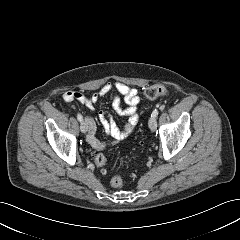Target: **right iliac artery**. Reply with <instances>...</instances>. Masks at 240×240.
Listing matches in <instances>:
<instances>
[{
    "instance_id": "obj_1",
    "label": "right iliac artery",
    "mask_w": 240,
    "mask_h": 240,
    "mask_svg": "<svg viewBox=\"0 0 240 240\" xmlns=\"http://www.w3.org/2000/svg\"><path fill=\"white\" fill-rule=\"evenodd\" d=\"M77 119H78V121H83V117H82V115L81 114H77Z\"/></svg>"
}]
</instances>
